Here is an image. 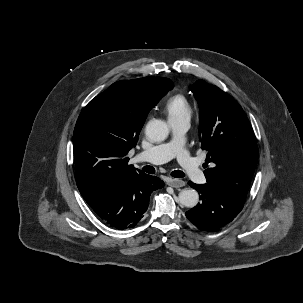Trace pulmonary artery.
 Returning a JSON list of instances; mask_svg holds the SVG:
<instances>
[{
	"mask_svg": "<svg viewBox=\"0 0 303 303\" xmlns=\"http://www.w3.org/2000/svg\"><path fill=\"white\" fill-rule=\"evenodd\" d=\"M173 136L170 141L151 147L136 155L138 162L162 164L176 158L186 174L196 183H205L206 178L197 161L183 147L184 134L189 128V119L170 123Z\"/></svg>",
	"mask_w": 303,
	"mask_h": 303,
	"instance_id": "e3ab8cb5",
	"label": "pulmonary artery"
}]
</instances>
